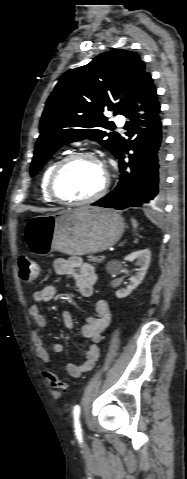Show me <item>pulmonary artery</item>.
<instances>
[{
	"instance_id": "1",
	"label": "pulmonary artery",
	"mask_w": 187,
	"mask_h": 479,
	"mask_svg": "<svg viewBox=\"0 0 187 479\" xmlns=\"http://www.w3.org/2000/svg\"><path fill=\"white\" fill-rule=\"evenodd\" d=\"M114 120H115V123H116L118 126H123V125H124V117H123V115H117Z\"/></svg>"
}]
</instances>
